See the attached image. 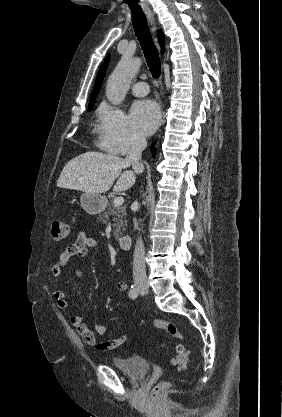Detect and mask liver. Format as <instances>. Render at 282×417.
<instances>
[{"label": "liver", "instance_id": "liver-1", "mask_svg": "<svg viewBox=\"0 0 282 417\" xmlns=\"http://www.w3.org/2000/svg\"><path fill=\"white\" fill-rule=\"evenodd\" d=\"M130 164L127 158H120L114 154L83 152L65 164L57 180V186L75 188L83 192H106L120 174L113 190H128L134 184L136 176L132 170H122Z\"/></svg>", "mask_w": 282, "mask_h": 417}]
</instances>
